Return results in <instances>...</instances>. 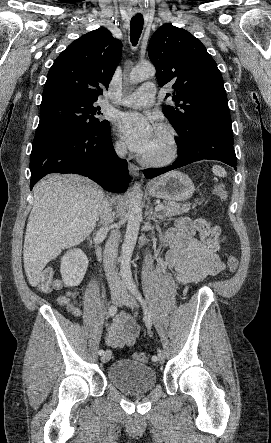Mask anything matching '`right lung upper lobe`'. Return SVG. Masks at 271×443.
I'll return each mask as SVG.
<instances>
[{
  "mask_svg": "<svg viewBox=\"0 0 271 443\" xmlns=\"http://www.w3.org/2000/svg\"><path fill=\"white\" fill-rule=\"evenodd\" d=\"M122 43L100 28L72 42L54 61L42 102L76 99L94 103L108 88L121 58Z\"/></svg>",
  "mask_w": 271,
  "mask_h": 443,
  "instance_id": "1",
  "label": "right lung upper lobe"
}]
</instances>
